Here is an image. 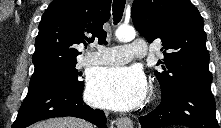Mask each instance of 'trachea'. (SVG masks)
<instances>
[{
	"label": "trachea",
	"instance_id": "trachea-1",
	"mask_svg": "<svg viewBox=\"0 0 221 128\" xmlns=\"http://www.w3.org/2000/svg\"><path fill=\"white\" fill-rule=\"evenodd\" d=\"M125 8V0H114L113 1V20L117 24L120 22L123 16Z\"/></svg>",
	"mask_w": 221,
	"mask_h": 128
}]
</instances>
